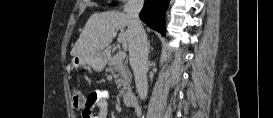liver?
Listing matches in <instances>:
<instances>
[{
    "mask_svg": "<svg viewBox=\"0 0 273 118\" xmlns=\"http://www.w3.org/2000/svg\"><path fill=\"white\" fill-rule=\"evenodd\" d=\"M130 18L127 13L117 11L96 12L86 22L78 40L71 50V55H90L103 51L112 42L118 29V42L128 49L130 33L128 27Z\"/></svg>",
    "mask_w": 273,
    "mask_h": 118,
    "instance_id": "liver-1",
    "label": "liver"
}]
</instances>
